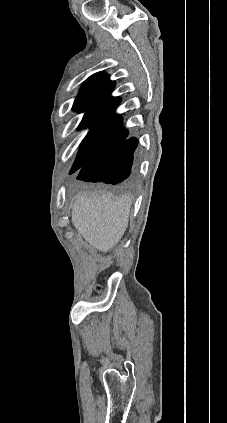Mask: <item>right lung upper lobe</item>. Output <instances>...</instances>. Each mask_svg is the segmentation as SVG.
Listing matches in <instances>:
<instances>
[{
  "mask_svg": "<svg viewBox=\"0 0 227 423\" xmlns=\"http://www.w3.org/2000/svg\"><path fill=\"white\" fill-rule=\"evenodd\" d=\"M114 82L104 73H96L83 84L73 109L85 111L79 129L90 127L88 135L81 143L79 154L95 155L125 140L128 131L123 129L120 121L107 120L104 116L119 102V97L110 96Z\"/></svg>",
  "mask_w": 227,
  "mask_h": 423,
  "instance_id": "right-lung-upper-lobe-1",
  "label": "right lung upper lobe"
}]
</instances>
